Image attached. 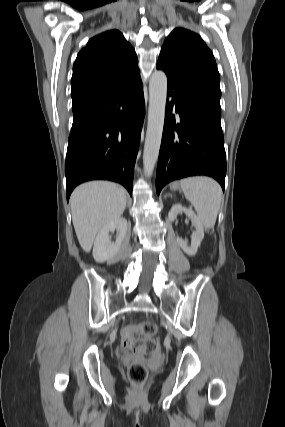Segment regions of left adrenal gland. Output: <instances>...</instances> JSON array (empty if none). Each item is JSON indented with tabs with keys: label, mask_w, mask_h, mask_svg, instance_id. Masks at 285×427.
I'll return each instance as SVG.
<instances>
[{
	"label": "left adrenal gland",
	"mask_w": 285,
	"mask_h": 427,
	"mask_svg": "<svg viewBox=\"0 0 285 427\" xmlns=\"http://www.w3.org/2000/svg\"><path fill=\"white\" fill-rule=\"evenodd\" d=\"M170 196V194L166 195L165 197Z\"/></svg>",
	"instance_id": "obj_1"
}]
</instances>
